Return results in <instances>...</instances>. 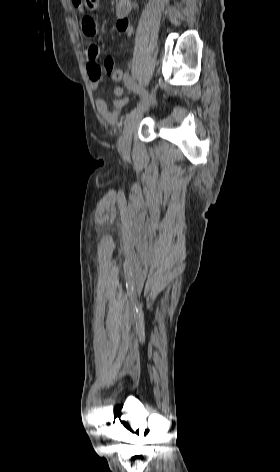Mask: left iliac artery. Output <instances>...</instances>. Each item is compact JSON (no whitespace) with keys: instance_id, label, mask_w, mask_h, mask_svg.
I'll list each match as a JSON object with an SVG mask.
<instances>
[{"instance_id":"1","label":"left iliac artery","mask_w":280,"mask_h":472,"mask_svg":"<svg viewBox=\"0 0 280 472\" xmlns=\"http://www.w3.org/2000/svg\"><path fill=\"white\" fill-rule=\"evenodd\" d=\"M123 81H124V85L125 87L136 93V94H139L141 96V101L137 104V106L135 108H133L131 110V112L129 114H127V118L134 114L135 112L139 111V110H142V109H145V107L148 105V93L146 92V90L140 88L134 81L133 79L131 78L129 72H125L123 74Z\"/></svg>"}]
</instances>
